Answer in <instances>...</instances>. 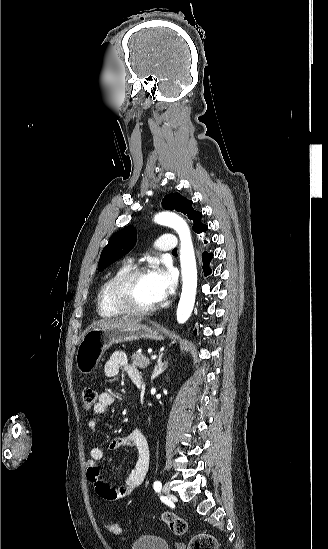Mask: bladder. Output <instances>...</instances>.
<instances>
[{
    "mask_svg": "<svg viewBox=\"0 0 328 549\" xmlns=\"http://www.w3.org/2000/svg\"><path fill=\"white\" fill-rule=\"evenodd\" d=\"M136 549H170L169 542L158 536L143 535L135 543Z\"/></svg>",
    "mask_w": 328,
    "mask_h": 549,
    "instance_id": "1",
    "label": "bladder"
}]
</instances>
